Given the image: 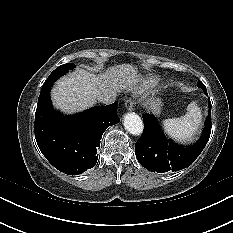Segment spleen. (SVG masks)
Instances as JSON below:
<instances>
[{
	"label": "spleen",
	"mask_w": 233,
	"mask_h": 233,
	"mask_svg": "<svg viewBox=\"0 0 233 233\" xmlns=\"http://www.w3.org/2000/svg\"><path fill=\"white\" fill-rule=\"evenodd\" d=\"M202 123V113L193 101L187 106V113L180 118L165 119L163 127L165 132L178 142H189L197 134Z\"/></svg>",
	"instance_id": "spleen-1"
}]
</instances>
